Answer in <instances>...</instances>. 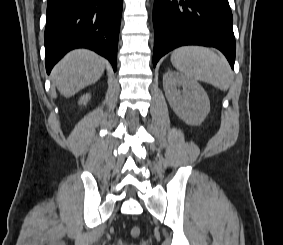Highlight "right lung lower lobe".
I'll use <instances>...</instances> for the list:
<instances>
[{"instance_id":"right-lung-lower-lobe-1","label":"right lung lower lobe","mask_w":283,"mask_h":245,"mask_svg":"<svg viewBox=\"0 0 283 245\" xmlns=\"http://www.w3.org/2000/svg\"><path fill=\"white\" fill-rule=\"evenodd\" d=\"M123 0H48L45 28L46 70L74 48H89L116 71Z\"/></svg>"}]
</instances>
